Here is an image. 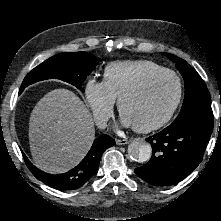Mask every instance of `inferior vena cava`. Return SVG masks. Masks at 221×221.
<instances>
[{
	"mask_svg": "<svg viewBox=\"0 0 221 221\" xmlns=\"http://www.w3.org/2000/svg\"><path fill=\"white\" fill-rule=\"evenodd\" d=\"M106 124H107V118L106 117L99 118V119L96 120V125L100 129H105L106 128Z\"/></svg>",
	"mask_w": 221,
	"mask_h": 221,
	"instance_id": "obj_1",
	"label": "inferior vena cava"
}]
</instances>
